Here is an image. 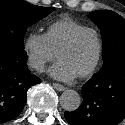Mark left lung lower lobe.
<instances>
[{
	"instance_id": "1",
	"label": "left lung lower lobe",
	"mask_w": 125,
	"mask_h": 125,
	"mask_svg": "<svg viewBox=\"0 0 125 125\" xmlns=\"http://www.w3.org/2000/svg\"><path fill=\"white\" fill-rule=\"evenodd\" d=\"M82 91L80 107L64 113L70 125H118L125 118V60L103 67Z\"/></svg>"
}]
</instances>
